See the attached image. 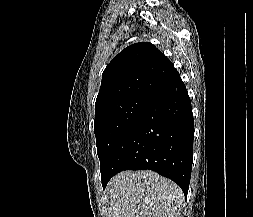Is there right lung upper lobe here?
<instances>
[{"label": "right lung upper lobe", "instance_id": "right-lung-upper-lobe-1", "mask_svg": "<svg viewBox=\"0 0 253 217\" xmlns=\"http://www.w3.org/2000/svg\"><path fill=\"white\" fill-rule=\"evenodd\" d=\"M171 61L151 43H136L122 50L105 68L95 113L130 98L152 100L178 78Z\"/></svg>", "mask_w": 253, "mask_h": 217}]
</instances>
